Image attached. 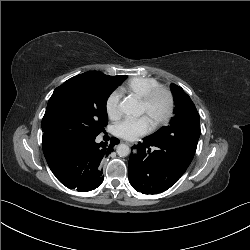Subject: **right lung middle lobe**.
<instances>
[{
	"mask_svg": "<svg viewBox=\"0 0 250 250\" xmlns=\"http://www.w3.org/2000/svg\"><path fill=\"white\" fill-rule=\"evenodd\" d=\"M126 77L90 71L64 82L49 99L42 119L44 134L97 136L108 123L107 99Z\"/></svg>",
	"mask_w": 250,
	"mask_h": 250,
	"instance_id": "1",
	"label": "right lung middle lobe"
}]
</instances>
